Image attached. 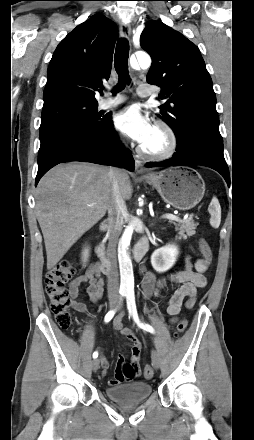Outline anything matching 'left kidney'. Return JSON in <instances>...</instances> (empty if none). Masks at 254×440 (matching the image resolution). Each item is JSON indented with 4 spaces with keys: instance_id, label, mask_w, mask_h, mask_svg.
<instances>
[{
    "instance_id": "obj_1",
    "label": "left kidney",
    "mask_w": 254,
    "mask_h": 440,
    "mask_svg": "<svg viewBox=\"0 0 254 440\" xmlns=\"http://www.w3.org/2000/svg\"><path fill=\"white\" fill-rule=\"evenodd\" d=\"M179 254L178 247L168 244L155 250L151 255V264L155 271L163 273L168 271L175 264Z\"/></svg>"
}]
</instances>
